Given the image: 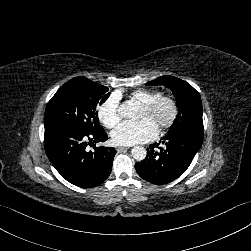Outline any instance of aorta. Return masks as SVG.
<instances>
[{
  "instance_id": "1",
  "label": "aorta",
  "mask_w": 251,
  "mask_h": 251,
  "mask_svg": "<svg viewBox=\"0 0 251 251\" xmlns=\"http://www.w3.org/2000/svg\"><path fill=\"white\" fill-rule=\"evenodd\" d=\"M135 106L130 101L123 102L118 108V113L125 118H131L135 115ZM133 158L137 161H142L146 157V149L142 146H135L131 150Z\"/></svg>"
}]
</instances>
